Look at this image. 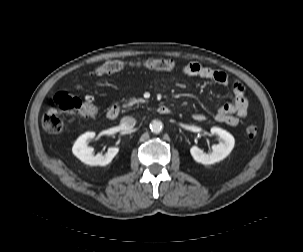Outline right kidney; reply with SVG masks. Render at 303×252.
<instances>
[{
    "instance_id": "right-kidney-1",
    "label": "right kidney",
    "mask_w": 303,
    "mask_h": 252,
    "mask_svg": "<svg viewBox=\"0 0 303 252\" xmlns=\"http://www.w3.org/2000/svg\"><path fill=\"white\" fill-rule=\"evenodd\" d=\"M95 132H86L81 135L72 147L73 154L83 163L90 166H105L109 164L119 152L118 147H109L105 155H93V149L87 146V141L95 137Z\"/></svg>"
}]
</instances>
